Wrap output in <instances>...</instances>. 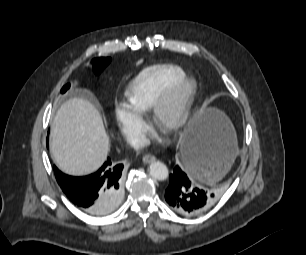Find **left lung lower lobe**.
Instances as JSON below:
<instances>
[{"mask_svg":"<svg viewBox=\"0 0 306 255\" xmlns=\"http://www.w3.org/2000/svg\"><path fill=\"white\" fill-rule=\"evenodd\" d=\"M219 153L196 143L186 148L182 169L176 166L169 177V186L165 200L177 213L193 216L204 212L215 200L214 194L191 184L189 175L192 172L209 174L213 172Z\"/></svg>","mask_w":306,"mask_h":255,"instance_id":"0a47b994","label":"left lung lower lobe"}]
</instances>
